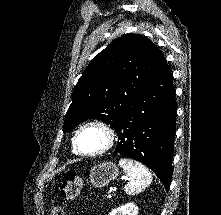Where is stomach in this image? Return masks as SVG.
Wrapping results in <instances>:
<instances>
[{"label":"stomach","instance_id":"stomach-1","mask_svg":"<svg viewBox=\"0 0 221 215\" xmlns=\"http://www.w3.org/2000/svg\"><path fill=\"white\" fill-rule=\"evenodd\" d=\"M118 174L119 168L116 164L104 162L91 168L89 179L93 186L103 187L116 179Z\"/></svg>","mask_w":221,"mask_h":215}]
</instances>
